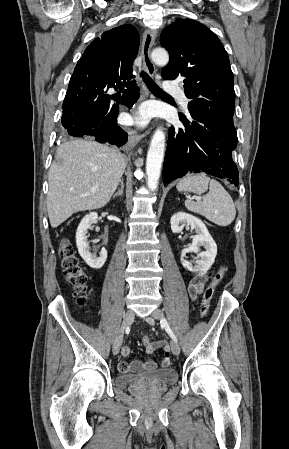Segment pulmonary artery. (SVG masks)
<instances>
[{
	"label": "pulmonary artery",
	"mask_w": 289,
	"mask_h": 449,
	"mask_svg": "<svg viewBox=\"0 0 289 449\" xmlns=\"http://www.w3.org/2000/svg\"><path fill=\"white\" fill-rule=\"evenodd\" d=\"M167 87H169V86H167ZM173 92L175 93V95L179 99V101L182 104V106L187 109L188 99L186 98L184 92L181 91V90H178V89L173 90Z\"/></svg>",
	"instance_id": "pulmonary-artery-1"
}]
</instances>
